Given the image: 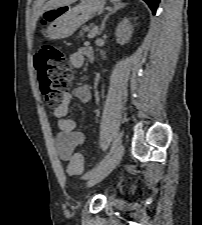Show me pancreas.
<instances>
[{"label":"pancreas","instance_id":"pancreas-1","mask_svg":"<svg viewBox=\"0 0 202 225\" xmlns=\"http://www.w3.org/2000/svg\"><path fill=\"white\" fill-rule=\"evenodd\" d=\"M91 28H92V25L91 26H83L80 34L82 35L83 32L90 31Z\"/></svg>","mask_w":202,"mask_h":225}]
</instances>
